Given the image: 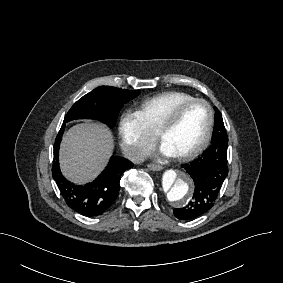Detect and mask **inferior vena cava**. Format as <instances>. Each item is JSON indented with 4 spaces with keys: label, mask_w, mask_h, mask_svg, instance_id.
Here are the masks:
<instances>
[{
    "label": "inferior vena cava",
    "mask_w": 283,
    "mask_h": 283,
    "mask_svg": "<svg viewBox=\"0 0 283 283\" xmlns=\"http://www.w3.org/2000/svg\"><path fill=\"white\" fill-rule=\"evenodd\" d=\"M148 152L138 146H131L124 152V157L133 164H141L147 158Z\"/></svg>",
    "instance_id": "602c4592"
}]
</instances>
